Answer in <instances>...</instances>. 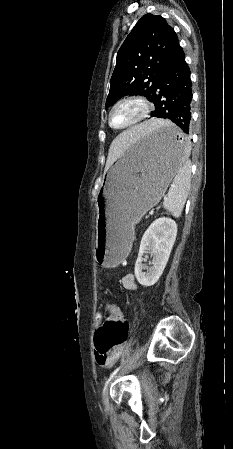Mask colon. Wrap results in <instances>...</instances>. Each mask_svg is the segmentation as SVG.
I'll return each mask as SVG.
<instances>
[{
    "label": "colon",
    "mask_w": 233,
    "mask_h": 449,
    "mask_svg": "<svg viewBox=\"0 0 233 449\" xmlns=\"http://www.w3.org/2000/svg\"><path fill=\"white\" fill-rule=\"evenodd\" d=\"M109 314L104 325L94 336L95 353L104 355L122 346L127 337L129 326L122 319L119 307L115 303L107 305Z\"/></svg>",
    "instance_id": "colon-1"
}]
</instances>
